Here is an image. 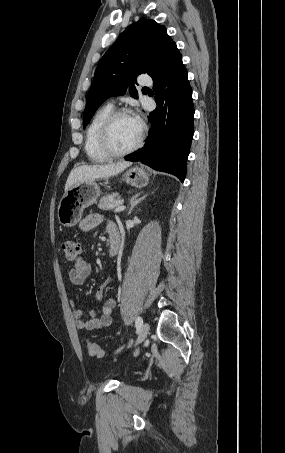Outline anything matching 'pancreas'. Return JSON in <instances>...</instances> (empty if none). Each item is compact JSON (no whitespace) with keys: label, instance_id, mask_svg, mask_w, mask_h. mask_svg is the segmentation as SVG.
<instances>
[{"label":"pancreas","instance_id":"obj_1","mask_svg":"<svg viewBox=\"0 0 285 453\" xmlns=\"http://www.w3.org/2000/svg\"><path fill=\"white\" fill-rule=\"evenodd\" d=\"M120 196L117 193L107 194L103 196L98 204L101 210H111L119 205Z\"/></svg>","mask_w":285,"mask_h":453}]
</instances>
